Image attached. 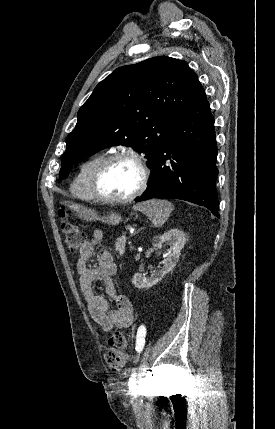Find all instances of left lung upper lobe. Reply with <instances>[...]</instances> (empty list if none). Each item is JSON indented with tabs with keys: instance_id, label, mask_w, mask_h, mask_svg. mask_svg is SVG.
Instances as JSON below:
<instances>
[{
	"instance_id": "5c2ea615",
	"label": "left lung upper lobe",
	"mask_w": 275,
	"mask_h": 429,
	"mask_svg": "<svg viewBox=\"0 0 275 429\" xmlns=\"http://www.w3.org/2000/svg\"><path fill=\"white\" fill-rule=\"evenodd\" d=\"M198 83L185 61L167 56L114 70L78 111L61 156L60 180L72 166L116 145L133 146L151 164L188 107Z\"/></svg>"
}]
</instances>
